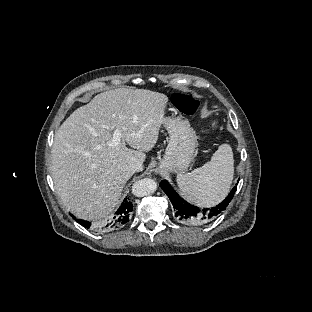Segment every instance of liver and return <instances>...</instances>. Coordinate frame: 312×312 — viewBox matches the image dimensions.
Segmentation results:
<instances>
[{"label":"liver","mask_w":312,"mask_h":312,"mask_svg":"<svg viewBox=\"0 0 312 312\" xmlns=\"http://www.w3.org/2000/svg\"><path fill=\"white\" fill-rule=\"evenodd\" d=\"M168 97L146 89L118 88L96 95L76 109L55 133L52 176L63 204L78 219L106 218L120 204L134 161L157 142ZM114 130L122 134L116 147L107 145ZM125 142L133 149L125 146Z\"/></svg>","instance_id":"obj_1"}]
</instances>
